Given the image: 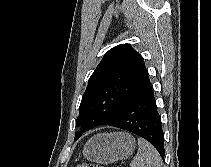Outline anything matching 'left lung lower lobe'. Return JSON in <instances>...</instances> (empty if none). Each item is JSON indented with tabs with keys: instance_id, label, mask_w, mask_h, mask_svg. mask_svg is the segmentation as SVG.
<instances>
[{
	"instance_id": "obj_1",
	"label": "left lung lower lobe",
	"mask_w": 211,
	"mask_h": 167,
	"mask_svg": "<svg viewBox=\"0 0 211 167\" xmlns=\"http://www.w3.org/2000/svg\"><path fill=\"white\" fill-rule=\"evenodd\" d=\"M105 125L141 136L157 149L164 160V133L151 83L129 99Z\"/></svg>"
}]
</instances>
